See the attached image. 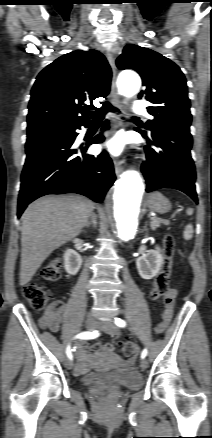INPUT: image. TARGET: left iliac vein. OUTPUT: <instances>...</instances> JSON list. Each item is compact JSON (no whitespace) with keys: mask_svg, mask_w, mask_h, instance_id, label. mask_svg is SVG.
I'll return each instance as SVG.
<instances>
[{"mask_svg":"<svg viewBox=\"0 0 212 438\" xmlns=\"http://www.w3.org/2000/svg\"><path fill=\"white\" fill-rule=\"evenodd\" d=\"M98 327L103 330L104 332L110 334V335H120V331L117 328V326L110 320L99 322ZM140 367L142 370L147 369L148 367V361L146 359H142L140 361Z\"/></svg>","mask_w":212,"mask_h":438,"instance_id":"4c4485c4","label":"left iliac vein"}]
</instances>
